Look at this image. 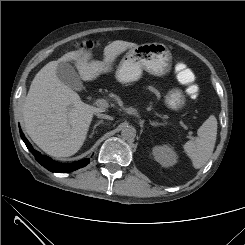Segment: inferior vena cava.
Masks as SVG:
<instances>
[{
  "mask_svg": "<svg viewBox=\"0 0 245 245\" xmlns=\"http://www.w3.org/2000/svg\"><path fill=\"white\" fill-rule=\"evenodd\" d=\"M96 116H97L98 118H102V119L113 120V117H111V116H109V115H106V114L99 113V112L96 113Z\"/></svg>",
  "mask_w": 245,
  "mask_h": 245,
  "instance_id": "1",
  "label": "inferior vena cava"
}]
</instances>
